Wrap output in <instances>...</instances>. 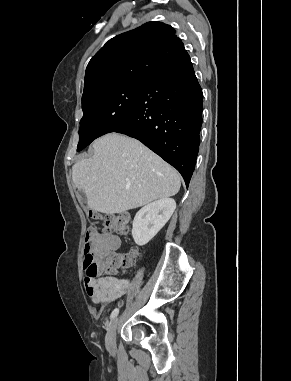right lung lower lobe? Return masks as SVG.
<instances>
[{"label":"right lung lower lobe","mask_w":291,"mask_h":381,"mask_svg":"<svg viewBox=\"0 0 291 381\" xmlns=\"http://www.w3.org/2000/svg\"><path fill=\"white\" fill-rule=\"evenodd\" d=\"M203 94L185 50L145 81L130 119L114 128L136 138L175 167L188 187L202 125Z\"/></svg>","instance_id":"obj_1"}]
</instances>
